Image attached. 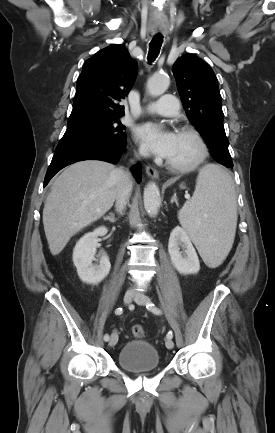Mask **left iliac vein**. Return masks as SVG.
Instances as JSON below:
<instances>
[{
  "label": "left iliac vein",
  "mask_w": 275,
  "mask_h": 433,
  "mask_svg": "<svg viewBox=\"0 0 275 433\" xmlns=\"http://www.w3.org/2000/svg\"><path fill=\"white\" fill-rule=\"evenodd\" d=\"M134 301L138 305H146L149 302V298L142 293H136L134 296ZM165 345L168 349H172L174 347V343L171 339H167Z\"/></svg>",
  "instance_id": "1"
}]
</instances>
